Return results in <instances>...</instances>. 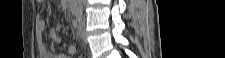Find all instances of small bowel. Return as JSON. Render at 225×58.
Segmentation results:
<instances>
[{"label":"small bowel","instance_id":"c3829d8e","mask_svg":"<svg viewBox=\"0 0 225 58\" xmlns=\"http://www.w3.org/2000/svg\"><path fill=\"white\" fill-rule=\"evenodd\" d=\"M42 2V0H39ZM37 29L39 33H43L46 30V22L39 18L37 20ZM50 36L55 44L61 45L69 55H75L77 53V48L73 44H68L63 42L57 35L56 30L52 27L49 31ZM39 51L42 58H68L64 54H58L55 50L48 51L43 43L39 45Z\"/></svg>","mask_w":225,"mask_h":58}]
</instances>
